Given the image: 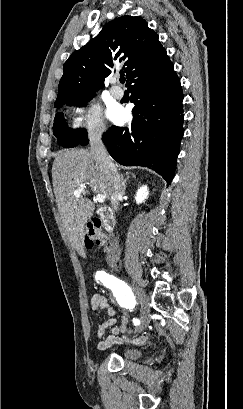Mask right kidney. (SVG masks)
Wrapping results in <instances>:
<instances>
[{"mask_svg":"<svg viewBox=\"0 0 243 409\" xmlns=\"http://www.w3.org/2000/svg\"><path fill=\"white\" fill-rule=\"evenodd\" d=\"M148 195H149L148 187L147 186L140 187L135 196L136 203L139 204L144 202L145 199H147Z\"/></svg>","mask_w":243,"mask_h":409,"instance_id":"ca27d5eb","label":"right kidney"}]
</instances>
